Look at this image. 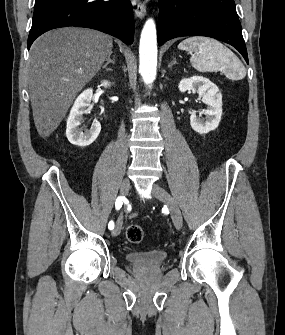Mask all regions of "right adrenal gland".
<instances>
[{"label": "right adrenal gland", "mask_w": 285, "mask_h": 335, "mask_svg": "<svg viewBox=\"0 0 285 335\" xmlns=\"http://www.w3.org/2000/svg\"><path fill=\"white\" fill-rule=\"evenodd\" d=\"M111 54H112V52H110V54L108 56V60H106V64H104L103 68H107V66H109V64H115L114 60H110Z\"/></svg>", "instance_id": "1"}]
</instances>
